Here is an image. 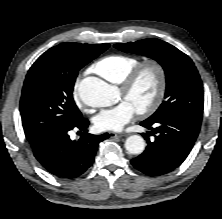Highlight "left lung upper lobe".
<instances>
[{
	"mask_svg": "<svg viewBox=\"0 0 222 219\" xmlns=\"http://www.w3.org/2000/svg\"><path fill=\"white\" fill-rule=\"evenodd\" d=\"M123 52L138 53L158 61L166 74L165 101L146 120L183 115L200 121L203 115V85L193 61L171 44L159 39H144L115 44Z\"/></svg>",
	"mask_w": 222,
	"mask_h": 219,
	"instance_id": "1",
	"label": "left lung upper lobe"
}]
</instances>
